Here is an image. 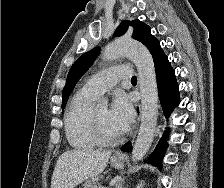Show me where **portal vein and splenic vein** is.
Segmentation results:
<instances>
[{"label": "portal vein and splenic vein", "instance_id": "portal-vein-and-splenic-vein-1", "mask_svg": "<svg viewBox=\"0 0 224 188\" xmlns=\"http://www.w3.org/2000/svg\"><path fill=\"white\" fill-rule=\"evenodd\" d=\"M100 188H106V187H104V186H100Z\"/></svg>", "mask_w": 224, "mask_h": 188}]
</instances>
